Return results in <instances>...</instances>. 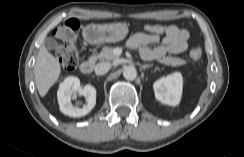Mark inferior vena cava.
Here are the masks:
<instances>
[{
	"instance_id": "1",
	"label": "inferior vena cava",
	"mask_w": 244,
	"mask_h": 157,
	"mask_svg": "<svg viewBox=\"0 0 244 157\" xmlns=\"http://www.w3.org/2000/svg\"><path fill=\"white\" fill-rule=\"evenodd\" d=\"M111 68V63L109 62H100L95 66V73L97 75L106 74Z\"/></svg>"
}]
</instances>
